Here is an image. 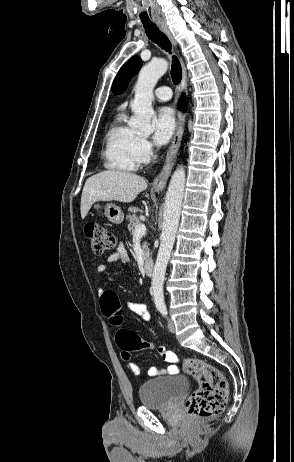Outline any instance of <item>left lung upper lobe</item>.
<instances>
[{"label":"left lung upper lobe","instance_id":"obj_1","mask_svg":"<svg viewBox=\"0 0 294 462\" xmlns=\"http://www.w3.org/2000/svg\"><path fill=\"white\" fill-rule=\"evenodd\" d=\"M142 67V61L140 57L134 56L129 59L119 70L115 77L112 85V91L115 94L123 92L130 81V79L138 73Z\"/></svg>","mask_w":294,"mask_h":462}]
</instances>
